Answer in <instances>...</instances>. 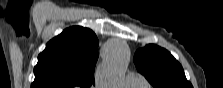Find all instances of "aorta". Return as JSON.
<instances>
[{
    "label": "aorta",
    "instance_id": "aorta-1",
    "mask_svg": "<svg viewBox=\"0 0 223 88\" xmlns=\"http://www.w3.org/2000/svg\"><path fill=\"white\" fill-rule=\"evenodd\" d=\"M130 60V49L123 41H116L107 53L102 77L107 88H120Z\"/></svg>",
    "mask_w": 223,
    "mask_h": 88
}]
</instances>
